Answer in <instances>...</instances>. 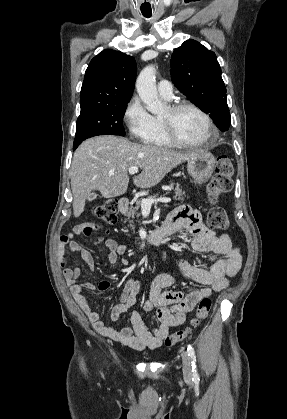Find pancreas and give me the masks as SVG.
<instances>
[{
	"mask_svg": "<svg viewBox=\"0 0 287 419\" xmlns=\"http://www.w3.org/2000/svg\"><path fill=\"white\" fill-rule=\"evenodd\" d=\"M174 183H171L170 185H169V188L170 189H173L174 188ZM174 191H175V196H174V199H178V200H182V196L183 195H185V192L184 191H182V189L180 188V185L177 183L176 184V187H175V189H174ZM150 198H154L153 196H151ZM140 206H141V201H136V205L135 206H131L129 209H128V211L126 212V216L128 217V218H134V216H136L137 218H139L140 217V212H138L139 211V208H140Z\"/></svg>",
	"mask_w": 287,
	"mask_h": 419,
	"instance_id": "pancreas-1",
	"label": "pancreas"
}]
</instances>
